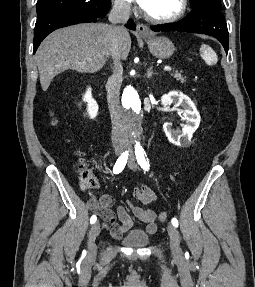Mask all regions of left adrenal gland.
Segmentation results:
<instances>
[{
    "mask_svg": "<svg viewBox=\"0 0 255 287\" xmlns=\"http://www.w3.org/2000/svg\"><path fill=\"white\" fill-rule=\"evenodd\" d=\"M153 74H154L153 68H149V70H148L146 76H147V78H151V76H153Z\"/></svg>",
    "mask_w": 255,
    "mask_h": 287,
    "instance_id": "1",
    "label": "left adrenal gland"
}]
</instances>
